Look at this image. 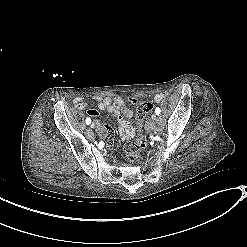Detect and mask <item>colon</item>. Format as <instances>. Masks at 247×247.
Masks as SVG:
<instances>
[{"label": "colon", "instance_id": "colon-1", "mask_svg": "<svg viewBox=\"0 0 247 247\" xmlns=\"http://www.w3.org/2000/svg\"><path fill=\"white\" fill-rule=\"evenodd\" d=\"M152 103L148 101H142L137 106V117L143 119L152 109ZM146 146V139L141 127L137 128L136 138L133 141H128L125 144V152L130 164L137 165L139 162V151Z\"/></svg>", "mask_w": 247, "mask_h": 247}]
</instances>
